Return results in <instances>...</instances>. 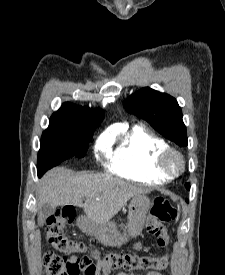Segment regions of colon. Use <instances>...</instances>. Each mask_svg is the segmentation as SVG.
Returning <instances> with one entry per match:
<instances>
[{
	"instance_id": "colon-1",
	"label": "colon",
	"mask_w": 225,
	"mask_h": 275,
	"mask_svg": "<svg viewBox=\"0 0 225 275\" xmlns=\"http://www.w3.org/2000/svg\"><path fill=\"white\" fill-rule=\"evenodd\" d=\"M177 208L168 200L156 198L153 201L150 217L146 223L147 232L157 239L160 247H167L170 237L165 225L177 217ZM75 212L72 208H63L58 214L48 218L46 236L48 243L65 253H83L86 243L73 240L65 235V227L73 221ZM97 257L111 269L126 271H161L169 266V255L139 256L124 252L96 253ZM47 275H80L83 271L89 275L93 269L83 261H70L66 256L49 251L44 255Z\"/></svg>"
}]
</instances>
